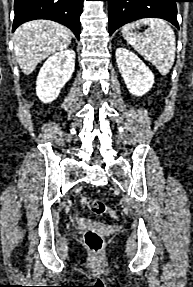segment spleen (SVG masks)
<instances>
[{"label": "spleen", "instance_id": "spleen-1", "mask_svg": "<svg viewBox=\"0 0 193 287\" xmlns=\"http://www.w3.org/2000/svg\"><path fill=\"white\" fill-rule=\"evenodd\" d=\"M139 25H148L143 33H133ZM124 39L161 75H167L175 61L176 39L168 23L158 18L142 19L122 28Z\"/></svg>", "mask_w": 193, "mask_h": 287}]
</instances>
